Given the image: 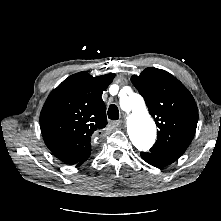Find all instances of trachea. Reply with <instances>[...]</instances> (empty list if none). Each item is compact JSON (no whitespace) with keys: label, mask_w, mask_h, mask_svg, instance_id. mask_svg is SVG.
I'll return each mask as SVG.
<instances>
[{"label":"trachea","mask_w":221,"mask_h":221,"mask_svg":"<svg viewBox=\"0 0 221 221\" xmlns=\"http://www.w3.org/2000/svg\"><path fill=\"white\" fill-rule=\"evenodd\" d=\"M108 118L111 120L119 119V110L115 104H111L108 108Z\"/></svg>","instance_id":"3493384b"}]
</instances>
